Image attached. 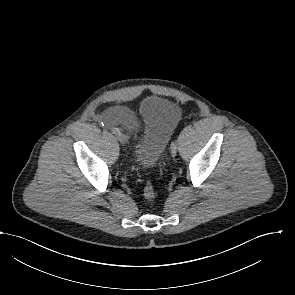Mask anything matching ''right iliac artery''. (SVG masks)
<instances>
[{
	"instance_id": "obj_1",
	"label": "right iliac artery",
	"mask_w": 295,
	"mask_h": 295,
	"mask_svg": "<svg viewBox=\"0 0 295 295\" xmlns=\"http://www.w3.org/2000/svg\"><path fill=\"white\" fill-rule=\"evenodd\" d=\"M112 132H113V134H119L120 133L118 128H113Z\"/></svg>"
}]
</instances>
